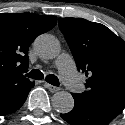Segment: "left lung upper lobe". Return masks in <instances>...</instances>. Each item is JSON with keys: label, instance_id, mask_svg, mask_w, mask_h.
Wrapping results in <instances>:
<instances>
[{"label": "left lung upper lobe", "instance_id": "left-lung-upper-lobe-1", "mask_svg": "<svg viewBox=\"0 0 125 125\" xmlns=\"http://www.w3.org/2000/svg\"><path fill=\"white\" fill-rule=\"evenodd\" d=\"M59 27L77 69L85 72L87 99L125 102V42L106 26L80 18H60Z\"/></svg>", "mask_w": 125, "mask_h": 125}]
</instances>
